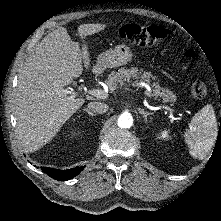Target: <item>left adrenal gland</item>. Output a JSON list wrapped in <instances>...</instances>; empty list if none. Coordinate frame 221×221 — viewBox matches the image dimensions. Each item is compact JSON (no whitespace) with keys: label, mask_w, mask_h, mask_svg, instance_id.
Listing matches in <instances>:
<instances>
[{"label":"left adrenal gland","mask_w":221,"mask_h":221,"mask_svg":"<svg viewBox=\"0 0 221 221\" xmlns=\"http://www.w3.org/2000/svg\"><path fill=\"white\" fill-rule=\"evenodd\" d=\"M139 113L143 115L145 122H147V117L153 115V113L144 111V109H139Z\"/></svg>","instance_id":"obj_1"}]
</instances>
